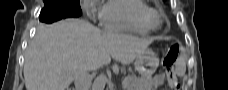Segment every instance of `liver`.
Returning a JSON list of instances; mask_svg holds the SVG:
<instances>
[{
    "label": "liver",
    "mask_w": 228,
    "mask_h": 90,
    "mask_svg": "<svg viewBox=\"0 0 228 90\" xmlns=\"http://www.w3.org/2000/svg\"><path fill=\"white\" fill-rule=\"evenodd\" d=\"M129 34L102 31L79 19L40 25L25 53L26 90H66L80 74L110 63H132L153 42Z\"/></svg>",
    "instance_id": "1"
}]
</instances>
